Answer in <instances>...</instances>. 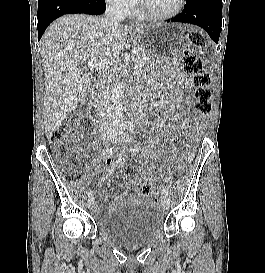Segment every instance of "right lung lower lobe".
Segmentation results:
<instances>
[{
	"label": "right lung lower lobe",
	"instance_id": "right-lung-lower-lobe-1",
	"mask_svg": "<svg viewBox=\"0 0 265 273\" xmlns=\"http://www.w3.org/2000/svg\"><path fill=\"white\" fill-rule=\"evenodd\" d=\"M106 10L104 0H39L38 1V40L48 25L65 14L84 13L100 15Z\"/></svg>",
	"mask_w": 265,
	"mask_h": 273
}]
</instances>
